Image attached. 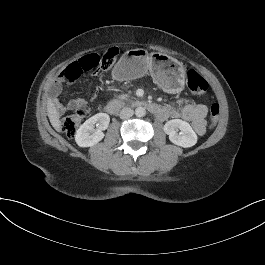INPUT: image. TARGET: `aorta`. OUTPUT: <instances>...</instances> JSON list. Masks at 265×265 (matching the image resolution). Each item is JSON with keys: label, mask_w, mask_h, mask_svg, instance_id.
Wrapping results in <instances>:
<instances>
[{"label": "aorta", "mask_w": 265, "mask_h": 265, "mask_svg": "<svg viewBox=\"0 0 265 265\" xmlns=\"http://www.w3.org/2000/svg\"><path fill=\"white\" fill-rule=\"evenodd\" d=\"M145 114H146V110H145V108L144 107H137L136 109H135V115L137 116V117H143V116H145Z\"/></svg>", "instance_id": "1"}]
</instances>
